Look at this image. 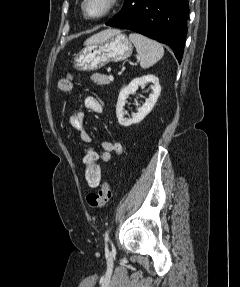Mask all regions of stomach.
<instances>
[{"instance_id": "stomach-1", "label": "stomach", "mask_w": 240, "mask_h": 287, "mask_svg": "<svg viewBox=\"0 0 240 287\" xmlns=\"http://www.w3.org/2000/svg\"><path fill=\"white\" fill-rule=\"evenodd\" d=\"M133 46L122 31L111 29L100 39L86 43L76 55L74 67L81 71L100 69L110 62H120L129 58Z\"/></svg>"}]
</instances>
